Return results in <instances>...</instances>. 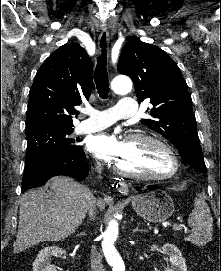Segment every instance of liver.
<instances>
[{
	"label": "liver",
	"instance_id": "6515ba94",
	"mask_svg": "<svg viewBox=\"0 0 221 271\" xmlns=\"http://www.w3.org/2000/svg\"><path fill=\"white\" fill-rule=\"evenodd\" d=\"M49 187L54 191L53 197L34 187L21 195L14 253L39 241H61L82 223L91 205L90 189L65 175L51 177ZM96 203L99 209H105L104 199L100 197Z\"/></svg>",
	"mask_w": 221,
	"mask_h": 271
}]
</instances>
